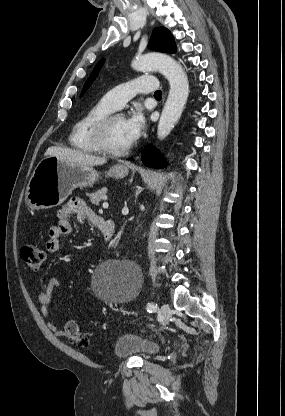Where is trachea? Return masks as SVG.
Instances as JSON below:
<instances>
[{
  "label": "trachea",
  "instance_id": "obj_1",
  "mask_svg": "<svg viewBox=\"0 0 285 416\" xmlns=\"http://www.w3.org/2000/svg\"><path fill=\"white\" fill-rule=\"evenodd\" d=\"M154 96L162 97V92H161V90H157V91L154 93Z\"/></svg>",
  "mask_w": 285,
  "mask_h": 416
}]
</instances>
